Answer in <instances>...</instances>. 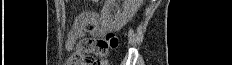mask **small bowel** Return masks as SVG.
<instances>
[{
    "mask_svg": "<svg viewBox=\"0 0 232 65\" xmlns=\"http://www.w3.org/2000/svg\"><path fill=\"white\" fill-rule=\"evenodd\" d=\"M85 32H88L94 37H101L104 34L103 29L100 27L98 17L94 13H84L74 22L73 28L66 39L65 47L68 52L71 53L73 51L77 42L83 38ZM66 65L89 64L84 61L77 48L66 61Z\"/></svg>",
    "mask_w": 232,
    "mask_h": 65,
    "instance_id": "obj_1",
    "label": "small bowel"
}]
</instances>
